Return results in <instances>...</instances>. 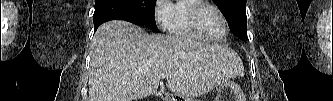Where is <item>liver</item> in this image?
Masks as SVG:
<instances>
[{"mask_svg":"<svg viewBox=\"0 0 333 101\" xmlns=\"http://www.w3.org/2000/svg\"><path fill=\"white\" fill-rule=\"evenodd\" d=\"M178 96L200 97L244 73L228 47L149 35L122 20L102 24L92 41L88 101H135L157 92L160 74Z\"/></svg>","mask_w":333,"mask_h":101,"instance_id":"liver-1","label":"liver"}]
</instances>
